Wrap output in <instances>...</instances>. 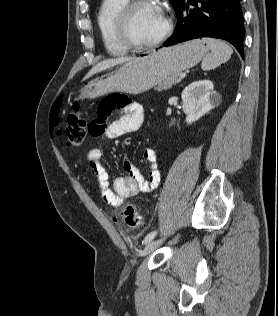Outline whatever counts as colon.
<instances>
[{"mask_svg":"<svg viewBox=\"0 0 278 316\" xmlns=\"http://www.w3.org/2000/svg\"><path fill=\"white\" fill-rule=\"evenodd\" d=\"M87 130H89L90 134L98 133V130L93 129L92 124L88 126L79 104H75L73 111L68 116L65 129L67 145L72 148L79 147L85 139ZM122 219L131 229H137L143 223V218L134 205H128L124 209Z\"/></svg>","mask_w":278,"mask_h":316,"instance_id":"1","label":"colon"}]
</instances>
